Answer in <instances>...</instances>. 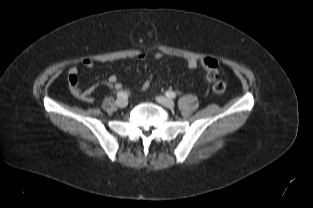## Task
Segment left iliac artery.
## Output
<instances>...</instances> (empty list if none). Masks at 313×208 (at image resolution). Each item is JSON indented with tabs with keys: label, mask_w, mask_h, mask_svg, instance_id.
<instances>
[{
	"label": "left iliac artery",
	"mask_w": 313,
	"mask_h": 208,
	"mask_svg": "<svg viewBox=\"0 0 313 208\" xmlns=\"http://www.w3.org/2000/svg\"><path fill=\"white\" fill-rule=\"evenodd\" d=\"M166 96L168 98H175L176 97V94L173 92V91H167L166 92Z\"/></svg>",
	"instance_id": "44dca946"
}]
</instances>
